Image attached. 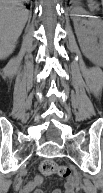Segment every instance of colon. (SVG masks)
I'll use <instances>...</instances> for the list:
<instances>
[{"mask_svg": "<svg viewBox=\"0 0 103 193\" xmlns=\"http://www.w3.org/2000/svg\"><path fill=\"white\" fill-rule=\"evenodd\" d=\"M39 170L43 175H58L63 179H70L72 176L71 170L66 166H60L51 159H46L39 165Z\"/></svg>", "mask_w": 103, "mask_h": 193, "instance_id": "5ec220e1", "label": "colon"}]
</instances>
